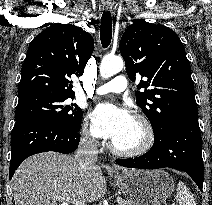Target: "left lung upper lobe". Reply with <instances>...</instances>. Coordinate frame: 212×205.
Segmentation results:
<instances>
[{
  "label": "left lung upper lobe",
  "mask_w": 212,
  "mask_h": 205,
  "mask_svg": "<svg viewBox=\"0 0 212 205\" xmlns=\"http://www.w3.org/2000/svg\"><path fill=\"white\" fill-rule=\"evenodd\" d=\"M120 52L131 81L146 77L137 88L136 103L161 138L179 115L197 111L190 63L177 34L163 25L137 21L124 32Z\"/></svg>",
  "instance_id": "obj_1"
}]
</instances>
